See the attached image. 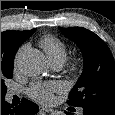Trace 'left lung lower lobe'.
<instances>
[{
    "label": "left lung lower lobe",
    "mask_w": 115,
    "mask_h": 115,
    "mask_svg": "<svg viewBox=\"0 0 115 115\" xmlns=\"http://www.w3.org/2000/svg\"><path fill=\"white\" fill-rule=\"evenodd\" d=\"M84 115H112L102 110L83 108ZM67 115H73L72 113H67Z\"/></svg>",
    "instance_id": "left-lung-lower-lobe-1"
}]
</instances>
